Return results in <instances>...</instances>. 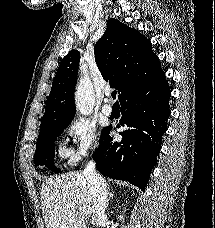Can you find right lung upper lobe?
<instances>
[{"instance_id":"obj_1","label":"right lung upper lobe","mask_w":215,"mask_h":228,"mask_svg":"<svg viewBox=\"0 0 215 228\" xmlns=\"http://www.w3.org/2000/svg\"><path fill=\"white\" fill-rule=\"evenodd\" d=\"M94 53L103 78L118 89L120 101L133 83L164 75L151 41L114 18L108 21ZM79 60L77 50H71L62 59L46 101L41 127L72 121L76 111L73 99Z\"/></svg>"}]
</instances>
